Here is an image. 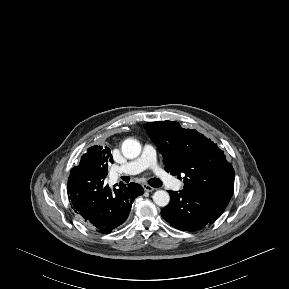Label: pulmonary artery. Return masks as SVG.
I'll list each match as a JSON object with an SVG mask.
<instances>
[{"instance_id":"1","label":"pulmonary artery","mask_w":289,"mask_h":289,"mask_svg":"<svg viewBox=\"0 0 289 289\" xmlns=\"http://www.w3.org/2000/svg\"><path fill=\"white\" fill-rule=\"evenodd\" d=\"M147 168H151L158 176L167 180L165 172L159 167L157 161V153L155 148L146 144L143 148L142 154L135 160L130 161L122 166H116L113 168V176H118L120 174H138ZM178 184L174 185V188H178Z\"/></svg>"}]
</instances>
